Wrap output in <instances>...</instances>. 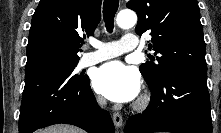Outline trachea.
Returning <instances> with one entry per match:
<instances>
[{
  "label": "trachea",
  "instance_id": "1",
  "mask_svg": "<svg viewBox=\"0 0 221 133\" xmlns=\"http://www.w3.org/2000/svg\"><path fill=\"white\" fill-rule=\"evenodd\" d=\"M118 6H119V0H104L103 17L108 32L113 31L114 16L117 12Z\"/></svg>",
  "mask_w": 221,
  "mask_h": 133
}]
</instances>
